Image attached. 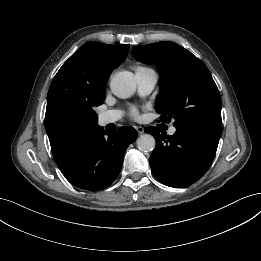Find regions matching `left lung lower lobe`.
Masks as SVG:
<instances>
[{"label": "left lung lower lobe", "instance_id": "obj_1", "mask_svg": "<svg viewBox=\"0 0 261 261\" xmlns=\"http://www.w3.org/2000/svg\"><path fill=\"white\" fill-rule=\"evenodd\" d=\"M145 132L154 136L156 147L149 162L153 175L170 187L195 183L208 170L215 156L221 130L179 129L174 135L149 126Z\"/></svg>", "mask_w": 261, "mask_h": 261}]
</instances>
